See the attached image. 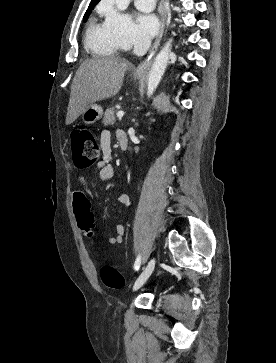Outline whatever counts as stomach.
<instances>
[{
    "mask_svg": "<svg viewBox=\"0 0 276 363\" xmlns=\"http://www.w3.org/2000/svg\"><path fill=\"white\" fill-rule=\"evenodd\" d=\"M143 75L137 74L135 77L141 78ZM103 114V109L100 105L91 104L82 113V120L85 124L91 125L100 120Z\"/></svg>",
    "mask_w": 276,
    "mask_h": 363,
    "instance_id": "stomach-1",
    "label": "stomach"
}]
</instances>
